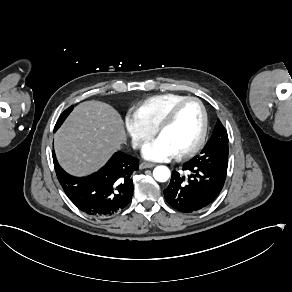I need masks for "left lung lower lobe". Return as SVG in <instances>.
Masks as SVG:
<instances>
[{"label":"left lung lower lobe","mask_w":292,"mask_h":292,"mask_svg":"<svg viewBox=\"0 0 292 292\" xmlns=\"http://www.w3.org/2000/svg\"><path fill=\"white\" fill-rule=\"evenodd\" d=\"M182 170L172 172L171 181L164 189L167 203L182 213H192L211 204L221 192L227 174V166L208 164L192 158L183 164Z\"/></svg>","instance_id":"left-lung-lower-lobe-1"}]
</instances>
